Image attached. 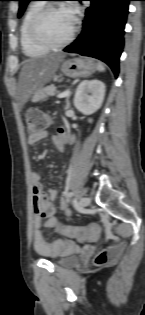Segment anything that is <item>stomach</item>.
Returning <instances> with one entry per match:
<instances>
[{
  "label": "stomach",
  "instance_id": "stomach-1",
  "mask_svg": "<svg viewBox=\"0 0 145 315\" xmlns=\"http://www.w3.org/2000/svg\"><path fill=\"white\" fill-rule=\"evenodd\" d=\"M62 64H66V71H62V73L71 78L89 76L96 70V64L92 59L74 58L66 60Z\"/></svg>",
  "mask_w": 145,
  "mask_h": 315
}]
</instances>
